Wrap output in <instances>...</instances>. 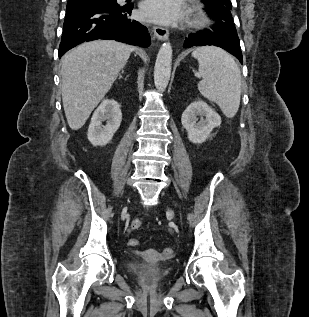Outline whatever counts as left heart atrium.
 Segmentation results:
<instances>
[{"label": "left heart atrium", "mask_w": 309, "mask_h": 317, "mask_svg": "<svg viewBox=\"0 0 309 317\" xmlns=\"http://www.w3.org/2000/svg\"><path fill=\"white\" fill-rule=\"evenodd\" d=\"M140 17L162 24H176L187 15L184 0H146L140 9Z\"/></svg>", "instance_id": "left-heart-atrium-1"}]
</instances>
